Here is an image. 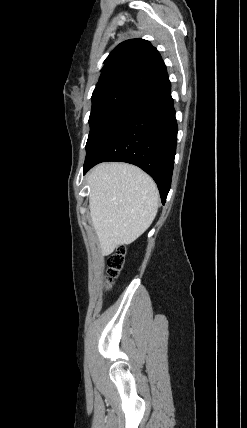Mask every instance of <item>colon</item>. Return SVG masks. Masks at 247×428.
Returning a JSON list of instances; mask_svg holds the SVG:
<instances>
[{
  "label": "colon",
  "mask_w": 247,
  "mask_h": 428,
  "mask_svg": "<svg viewBox=\"0 0 247 428\" xmlns=\"http://www.w3.org/2000/svg\"><path fill=\"white\" fill-rule=\"evenodd\" d=\"M125 261V250L119 248L108 258V276H107V288H110L114 283V280L119 275L123 268Z\"/></svg>",
  "instance_id": "5ec220e1"
}]
</instances>
